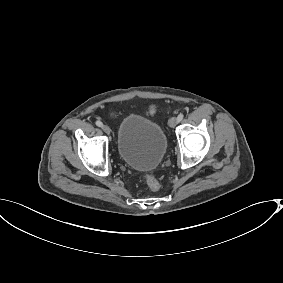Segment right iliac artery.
Listing matches in <instances>:
<instances>
[{"label":"right iliac artery","instance_id":"1","mask_svg":"<svg viewBox=\"0 0 283 283\" xmlns=\"http://www.w3.org/2000/svg\"><path fill=\"white\" fill-rule=\"evenodd\" d=\"M96 125H97L98 127H102V126H103V123H102L101 121H96Z\"/></svg>","mask_w":283,"mask_h":283}]
</instances>
